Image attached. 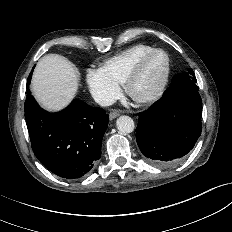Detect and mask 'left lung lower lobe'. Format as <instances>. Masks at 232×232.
Listing matches in <instances>:
<instances>
[{"instance_id":"1","label":"left lung lower lobe","mask_w":232,"mask_h":232,"mask_svg":"<svg viewBox=\"0 0 232 232\" xmlns=\"http://www.w3.org/2000/svg\"><path fill=\"white\" fill-rule=\"evenodd\" d=\"M137 144L152 165L168 168L182 162L202 130V100L198 87H183L172 79L163 97L138 114Z\"/></svg>"}]
</instances>
